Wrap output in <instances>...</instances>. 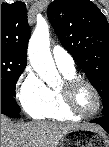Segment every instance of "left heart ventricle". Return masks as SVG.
<instances>
[{"mask_svg":"<svg viewBox=\"0 0 109 147\" xmlns=\"http://www.w3.org/2000/svg\"><path fill=\"white\" fill-rule=\"evenodd\" d=\"M76 104L84 114H90L96 107V98L89 87L81 85L76 92Z\"/></svg>","mask_w":109,"mask_h":147,"instance_id":"b2bd125f","label":"left heart ventricle"}]
</instances>
